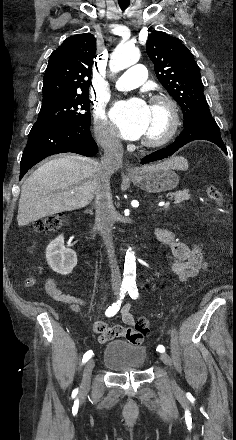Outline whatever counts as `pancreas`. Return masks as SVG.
<instances>
[{"label": "pancreas", "mask_w": 236, "mask_h": 440, "mask_svg": "<svg viewBox=\"0 0 236 440\" xmlns=\"http://www.w3.org/2000/svg\"><path fill=\"white\" fill-rule=\"evenodd\" d=\"M171 197L174 198V204H180L184 201H187L190 199L191 195L189 193V190H183V191H177L175 193L171 194Z\"/></svg>", "instance_id": "obj_1"}]
</instances>
